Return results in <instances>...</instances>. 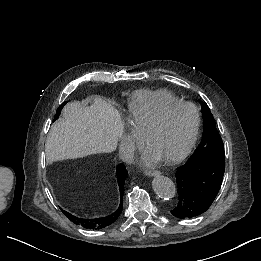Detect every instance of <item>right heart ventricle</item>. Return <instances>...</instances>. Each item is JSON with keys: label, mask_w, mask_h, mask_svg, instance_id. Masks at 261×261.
<instances>
[{"label": "right heart ventricle", "mask_w": 261, "mask_h": 261, "mask_svg": "<svg viewBox=\"0 0 261 261\" xmlns=\"http://www.w3.org/2000/svg\"><path fill=\"white\" fill-rule=\"evenodd\" d=\"M180 101V98L168 89H141L122 98L120 106L126 118L137 122L142 116L153 114L168 103Z\"/></svg>", "instance_id": "right-heart-ventricle-1"}]
</instances>
